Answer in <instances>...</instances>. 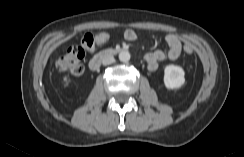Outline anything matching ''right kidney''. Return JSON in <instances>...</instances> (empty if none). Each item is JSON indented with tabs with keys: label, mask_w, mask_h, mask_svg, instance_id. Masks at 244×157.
Here are the masks:
<instances>
[{
	"label": "right kidney",
	"mask_w": 244,
	"mask_h": 157,
	"mask_svg": "<svg viewBox=\"0 0 244 157\" xmlns=\"http://www.w3.org/2000/svg\"><path fill=\"white\" fill-rule=\"evenodd\" d=\"M67 81H68V78L65 76V77L63 78V82H64V83H67Z\"/></svg>",
	"instance_id": "obj_1"
}]
</instances>
